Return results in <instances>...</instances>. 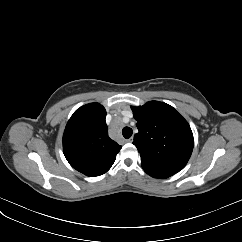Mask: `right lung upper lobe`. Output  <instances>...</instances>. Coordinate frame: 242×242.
Instances as JSON below:
<instances>
[{"label":"right lung upper lobe","instance_id":"right-lung-upper-lobe-1","mask_svg":"<svg viewBox=\"0 0 242 242\" xmlns=\"http://www.w3.org/2000/svg\"><path fill=\"white\" fill-rule=\"evenodd\" d=\"M106 110L99 103L77 109L63 135V151L77 171L95 177L106 173L122 148L108 136Z\"/></svg>","mask_w":242,"mask_h":242}]
</instances>
